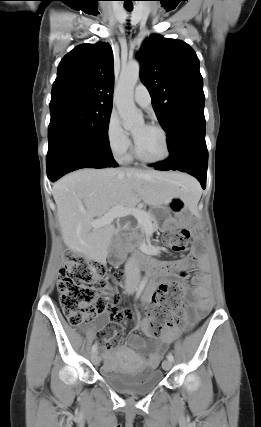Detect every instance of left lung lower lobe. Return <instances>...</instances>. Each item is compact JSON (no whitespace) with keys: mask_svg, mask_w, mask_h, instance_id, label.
I'll list each match as a JSON object with an SVG mask.
<instances>
[{"mask_svg":"<svg viewBox=\"0 0 261 427\" xmlns=\"http://www.w3.org/2000/svg\"><path fill=\"white\" fill-rule=\"evenodd\" d=\"M169 158L152 164L157 170H179L206 185L208 152L205 143V117L189 115L181 118L167 132Z\"/></svg>","mask_w":261,"mask_h":427,"instance_id":"obj_1","label":"left lung lower lobe"}]
</instances>
